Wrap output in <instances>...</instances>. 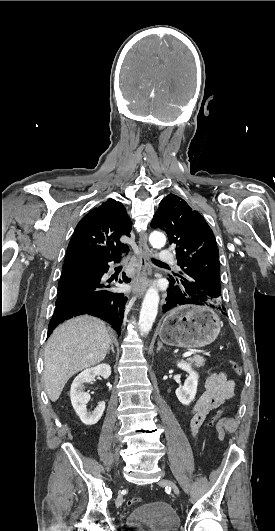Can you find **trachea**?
<instances>
[{
  "label": "trachea",
  "mask_w": 275,
  "mask_h": 531,
  "mask_svg": "<svg viewBox=\"0 0 275 531\" xmlns=\"http://www.w3.org/2000/svg\"><path fill=\"white\" fill-rule=\"evenodd\" d=\"M153 261H154L156 264L160 265V266L168 267V265H167L166 263H162L161 261H158V260H156V259H153Z\"/></svg>",
  "instance_id": "1"
}]
</instances>
